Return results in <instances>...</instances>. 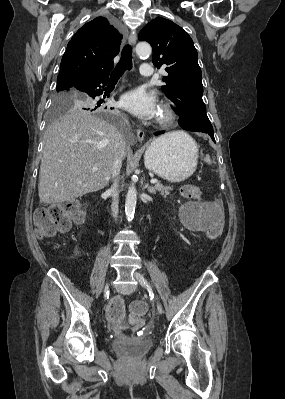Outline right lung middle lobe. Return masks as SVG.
<instances>
[{
    "label": "right lung middle lobe",
    "instance_id": "obj_1",
    "mask_svg": "<svg viewBox=\"0 0 285 399\" xmlns=\"http://www.w3.org/2000/svg\"><path fill=\"white\" fill-rule=\"evenodd\" d=\"M95 98L75 88H57L50 122H52L57 115L72 109L90 111L97 109V111L100 112L104 111L106 108H104L101 103L97 102Z\"/></svg>",
    "mask_w": 285,
    "mask_h": 399
}]
</instances>
